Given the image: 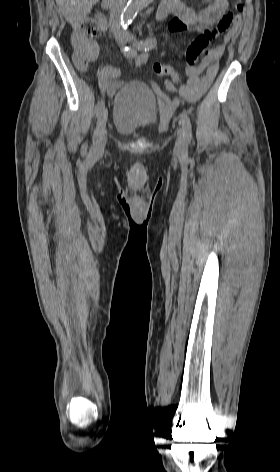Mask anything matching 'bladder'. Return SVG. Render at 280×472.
<instances>
[{
    "instance_id": "obj_1",
    "label": "bladder",
    "mask_w": 280,
    "mask_h": 472,
    "mask_svg": "<svg viewBox=\"0 0 280 472\" xmlns=\"http://www.w3.org/2000/svg\"><path fill=\"white\" fill-rule=\"evenodd\" d=\"M158 119L157 98L145 83L128 82L115 95L112 122L119 132L131 135L141 128L157 124Z\"/></svg>"
}]
</instances>
